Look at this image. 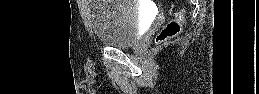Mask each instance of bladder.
Masks as SVG:
<instances>
[{
    "mask_svg": "<svg viewBox=\"0 0 259 94\" xmlns=\"http://www.w3.org/2000/svg\"><path fill=\"white\" fill-rule=\"evenodd\" d=\"M90 21L97 39L110 47H130L141 37L142 11L135 1H91Z\"/></svg>",
    "mask_w": 259,
    "mask_h": 94,
    "instance_id": "obj_1",
    "label": "bladder"
}]
</instances>
